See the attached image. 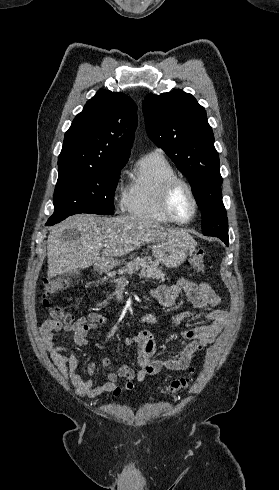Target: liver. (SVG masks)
Returning <instances> with one entry per match:
<instances>
[{"instance_id":"obj_1","label":"liver","mask_w":279,"mask_h":490,"mask_svg":"<svg viewBox=\"0 0 279 490\" xmlns=\"http://www.w3.org/2000/svg\"><path fill=\"white\" fill-rule=\"evenodd\" d=\"M75 228L80 232L77 242H64V230ZM171 238H184L189 248H195L192 236L181 228H162L146 218H98L92 214H77L56 224L48 236V278L84 270L95 266L104 272L105 262L130 254L147 242H165ZM103 248V250H102ZM99 250H102L99 254ZM101 256V258H100Z\"/></svg>"}]
</instances>
